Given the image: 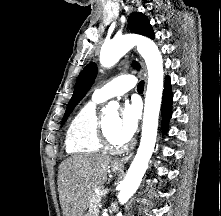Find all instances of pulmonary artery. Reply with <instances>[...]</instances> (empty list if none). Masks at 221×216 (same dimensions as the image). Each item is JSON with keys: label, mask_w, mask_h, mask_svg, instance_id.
<instances>
[{"label": "pulmonary artery", "mask_w": 221, "mask_h": 216, "mask_svg": "<svg viewBox=\"0 0 221 216\" xmlns=\"http://www.w3.org/2000/svg\"><path fill=\"white\" fill-rule=\"evenodd\" d=\"M136 85V79L129 74L118 76L102 87L96 89L92 99L97 102H104L112 97L125 94Z\"/></svg>", "instance_id": "1"}]
</instances>
